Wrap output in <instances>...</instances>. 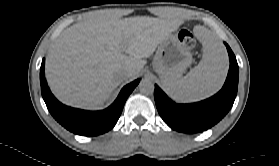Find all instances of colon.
<instances>
[{
  "mask_svg": "<svg viewBox=\"0 0 279 166\" xmlns=\"http://www.w3.org/2000/svg\"><path fill=\"white\" fill-rule=\"evenodd\" d=\"M178 39L181 45L188 50H191L196 45V38L191 28H184L179 31Z\"/></svg>",
  "mask_w": 279,
  "mask_h": 166,
  "instance_id": "5ec220e1",
  "label": "colon"
}]
</instances>
